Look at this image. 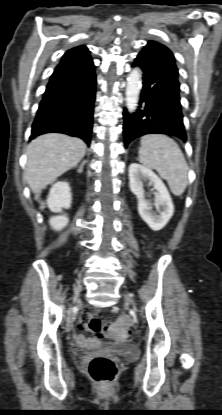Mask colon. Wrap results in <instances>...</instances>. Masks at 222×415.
<instances>
[{"label":"colon","mask_w":222,"mask_h":415,"mask_svg":"<svg viewBox=\"0 0 222 415\" xmlns=\"http://www.w3.org/2000/svg\"><path fill=\"white\" fill-rule=\"evenodd\" d=\"M78 327L81 332H89L96 336H109L113 339L133 338L137 331L127 330L121 323L108 324L96 314L83 313L80 316ZM88 373L97 382H111L116 375V364L105 356L93 358L88 364Z\"/></svg>","instance_id":"colon-1"}]
</instances>
